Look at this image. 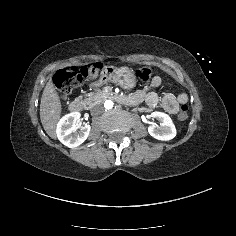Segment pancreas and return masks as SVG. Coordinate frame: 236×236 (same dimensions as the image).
Returning <instances> with one entry per match:
<instances>
[{
    "label": "pancreas",
    "instance_id": "1",
    "mask_svg": "<svg viewBox=\"0 0 236 236\" xmlns=\"http://www.w3.org/2000/svg\"><path fill=\"white\" fill-rule=\"evenodd\" d=\"M110 95L111 92H103L102 90L98 89L95 92H90L89 94H86L84 97L79 96V99H81L85 103V109H90L96 103L103 102L105 99L109 98ZM134 110H138L140 112L147 111L146 108H136Z\"/></svg>",
    "mask_w": 236,
    "mask_h": 236
}]
</instances>
